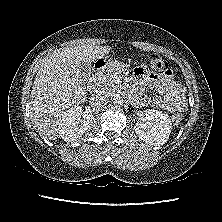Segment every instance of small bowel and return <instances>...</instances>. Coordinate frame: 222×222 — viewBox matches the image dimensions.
<instances>
[{
    "instance_id": "obj_1",
    "label": "small bowel",
    "mask_w": 222,
    "mask_h": 222,
    "mask_svg": "<svg viewBox=\"0 0 222 222\" xmlns=\"http://www.w3.org/2000/svg\"><path fill=\"white\" fill-rule=\"evenodd\" d=\"M136 79L143 80L146 84L153 85L160 90V93L149 97L148 102L161 109L174 112L181 111L185 107V100L183 96V88L172 79V73L166 69L160 74L147 72L145 74H138L135 72ZM138 87V82L136 83ZM144 96L140 94L138 101H142Z\"/></svg>"
}]
</instances>
